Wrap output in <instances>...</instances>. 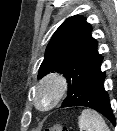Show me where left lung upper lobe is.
<instances>
[{
  "label": "left lung upper lobe",
  "instance_id": "1",
  "mask_svg": "<svg viewBox=\"0 0 117 131\" xmlns=\"http://www.w3.org/2000/svg\"><path fill=\"white\" fill-rule=\"evenodd\" d=\"M91 31V25L79 15L66 19L46 48L38 78L57 71L66 77L68 90L82 87L103 60ZM69 101L67 97L62 107H66Z\"/></svg>",
  "mask_w": 117,
  "mask_h": 131
}]
</instances>
